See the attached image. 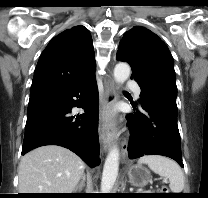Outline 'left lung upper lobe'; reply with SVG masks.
I'll list each match as a JSON object with an SVG mask.
<instances>
[{"label": "left lung upper lobe", "mask_w": 208, "mask_h": 198, "mask_svg": "<svg viewBox=\"0 0 208 198\" xmlns=\"http://www.w3.org/2000/svg\"><path fill=\"white\" fill-rule=\"evenodd\" d=\"M117 59L126 61L141 88L140 103L155 98L177 112L173 59L167 46L149 29L134 26L119 44Z\"/></svg>", "instance_id": "1"}]
</instances>
